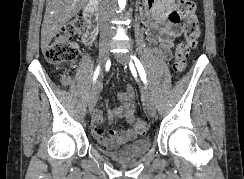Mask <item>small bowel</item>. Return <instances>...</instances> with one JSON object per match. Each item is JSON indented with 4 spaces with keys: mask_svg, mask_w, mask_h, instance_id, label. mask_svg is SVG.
Segmentation results:
<instances>
[{
    "mask_svg": "<svg viewBox=\"0 0 244 179\" xmlns=\"http://www.w3.org/2000/svg\"><path fill=\"white\" fill-rule=\"evenodd\" d=\"M174 0L142 2L139 8L141 23L147 31V40L152 54L164 59L171 58V49L173 39L180 34V28L177 24L178 16L173 6ZM85 43L92 40L85 37ZM120 105L117 108L109 110L108 121L121 118L127 126L123 129L104 130L103 115L100 111L93 112L92 132L106 146H114L126 143L132 140L135 135V117H134V90L127 85L125 90L118 94Z\"/></svg>",
    "mask_w": 244,
    "mask_h": 179,
    "instance_id": "1",
    "label": "small bowel"
}]
</instances>
